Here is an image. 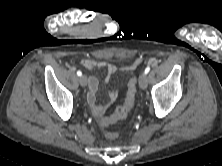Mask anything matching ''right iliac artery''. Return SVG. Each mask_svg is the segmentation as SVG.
<instances>
[{
  "label": "right iliac artery",
  "instance_id": "82829eb1",
  "mask_svg": "<svg viewBox=\"0 0 222 166\" xmlns=\"http://www.w3.org/2000/svg\"><path fill=\"white\" fill-rule=\"evenodd\" d=\"M77 75H78V76H81V75H82V72H81V71H77Z\"/></svg>",
  "mask_w": 222,
  "mask_h": 166
}]
</instances>
